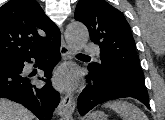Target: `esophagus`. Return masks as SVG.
<instances>
[{"instance_id":"34e87169","label":"esophagus","mask_w":165,"mask_h":120,"mask_svg":"<svg viewBox=\"0 0 165 120\" xmlns=\"http://www.w3.org/2000/svg\"><path fill=\"white\" fill-rule=\"evenodd\" d=\"M60 53L63 59H68L71 57V50L67 46L63 36L61 39L60 45ZM75 110V99L73 95L67 94L65 97L62 98L59 107H58V114L61 117H68L73 114Z\"/></svg>"}]
</instances>
